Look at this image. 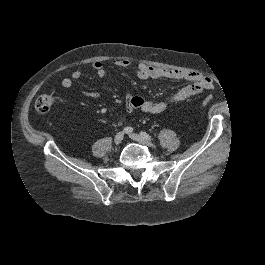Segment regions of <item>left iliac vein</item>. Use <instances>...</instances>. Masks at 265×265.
Wrapping results in <instances>:
<instances>
[{
    "label": "left iliac vein",
    "instance_id": "obj_1",
    "mask_svg": "<svg viewBox=\"0 0 265 265\" xmlns=\"http://www.w3.org/2000/svg\"><path fill=\"white\" fill-rule=\"evenodd\" d=\"M130 137L134 140V141H137L139 143H142L144 145H147V146H153V141L151 138L149 137H143L139 134H136V133H133V134H130Z\"/></svg>",
    "mask_w": 265,
    "mask_h": 265
}]
</instances>
